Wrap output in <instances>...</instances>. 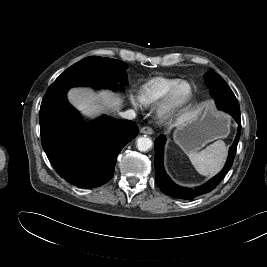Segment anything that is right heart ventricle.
<instances>
[{
  "instance_id": "1",
  "label": "right heart ventricle",
  "mask_w": 267,
  "mask_h": 267,
  "mask_svg": "<svg viewBox=\"0 0 267 267\" xmlns=\"http://www.w3.org/2000/svg\"><path fill=\"white\" fill-rule=\"evenodd\" d=\"M180 82L179 79L156 77L143 84L139 89V99L145 105L159 102Z\"/></svg>"
}]
</instances>
